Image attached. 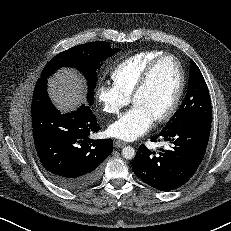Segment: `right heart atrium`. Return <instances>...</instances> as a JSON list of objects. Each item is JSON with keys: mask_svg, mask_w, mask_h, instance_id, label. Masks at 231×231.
<instances>
[{"mask_svg": "<svg viewBox=\"0 0 231 231\" xmlns=\"http://www.w3.org/2000/svg\"><path fill=\"white\" fill-rule=\"evenodd\" d=\"M96 98L103 111L112 115L119 114L130 102V98L111 83L100 84L96 90Z\"/></svg>", "mask_w": 231, "mask_h": 231, "instance_id": "right-heart-atrium-1", "label": "right heart atrium"}]
</instances>
